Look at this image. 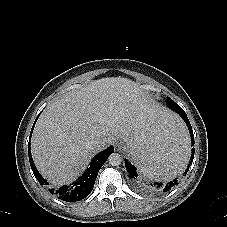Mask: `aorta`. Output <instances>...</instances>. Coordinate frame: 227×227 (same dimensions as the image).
Listing matches in <instances>:
<instances>
[{
    "mask_svg": "<svg viewBox=\"0 0 227 227\" xmlns=\"http://www.w3.org/2000/svg\"><path fill=\"white\" fill-rule=\"evenodd\" d=\"M108 162L110 165L112 166H118L121 164L122 162V158L118 153H112L109 157H108Z\"/></svg>",
    "mask_w": 227,
    "mask_h": 227,
    "instance_id": "aorta-1",
    "label": "aorta"
}]
</instances>
